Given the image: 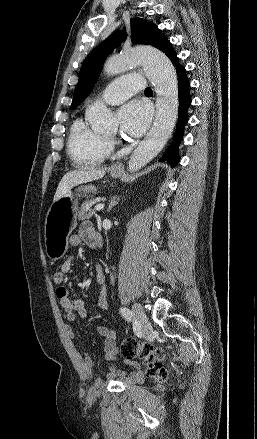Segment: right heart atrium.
<instances>
[{
	"mask_svg": "<svg viewBox=\"0 0 257 439\" xmlns=\"http://www.w3.org/2000/svg\"><path fill=\"white\" fill-rule=\"evenodd\" d=\"M111 149V144L109 142H106V151L109 152Z\"/></svg>",
	"mask_w": 257,
	"mask_h": 439,
	"instance_id": "right-heart-atrium-1",
	"label": "right heart atrium"
}]
</instances>
